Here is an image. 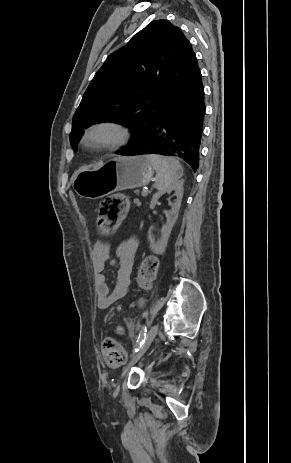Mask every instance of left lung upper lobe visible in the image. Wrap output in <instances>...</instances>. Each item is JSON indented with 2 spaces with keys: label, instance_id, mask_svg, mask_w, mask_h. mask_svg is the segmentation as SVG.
<instances>
[{
  "label": "left lung upper lobe",
  "instance_id": "obj_1",
  "mask_svg": "<svg viewBox=\"0 0 291 463\" xmlns=\"http://www.w3.org/2000/svg\"><path fill=\"white\" fill-rule=\"evenodd\" d=\"M199 70L191 43L167 20H156L97 71L72 119L74 150L84 128L103 121L129 127L130 150L157 118L171 94Z\"/></svg>",
  "mask_w": 291,
  "mask_h": 463
}]
</instances>
